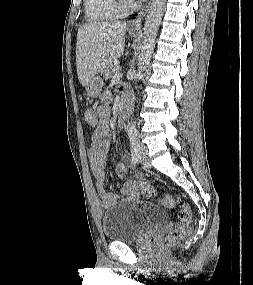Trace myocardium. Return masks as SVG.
<instances>
[{
	"mask_svg": "<svg viewBox=\"0 0 253 285\" xmlns=\"http://www.w3.org/2000/svg\"><path fill=\"white\" fill-rule=\"evenodd\" d=\"M116 9L120 13H126L134 8V4L128 0H113Z\"/></svg>",
	"mask_w": 253,
	"mask_h": 285,
	"instance_id": "myocardium-1",
	"label": "myocardium"
}]
</instances>
